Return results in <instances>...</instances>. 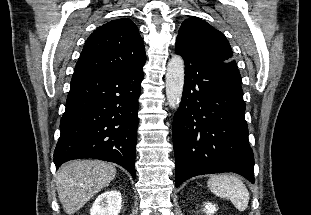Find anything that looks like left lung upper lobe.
<instances>
[{"label": "left lung upper lobe", "instance_id": "obj_1", "mask_svg": "<svg viewBox=\"0 0 311 215\" xmlns=\"http://www.w3.org/2000/svg\"><path fill=\"white\" fill-rule=\"evenodd\" d=\"M176 43L212 63L233 80L242 83L228 40L223 33L204 20L197 17L186 19L179 29Z\"/></svg>", "mask_w": 311, "mask_h": 215}]
</instances>
